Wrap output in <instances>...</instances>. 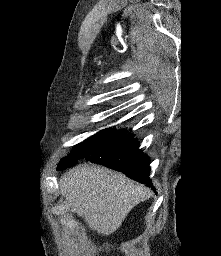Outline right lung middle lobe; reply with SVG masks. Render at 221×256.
Segmentation results:
<instances>
[{
	"mask_svg": "<svg viewBox=\"0 0 221 256\" xmlns=\"http://www.w3.org/2000/svg\"><path fill=\"white\" fill-rule=\"evenodd\" d=\"M127 133V130H113L108 128L101 130L94 136L89 137L85 141L79 143L72 149V153L61 160L58 165L59 170L75 165L78 160L84 159L101 149L105 145L112 143Z\"/></svg>",
	"mask_w": 221,
	"mask_h": 256,
	"instance_id": "1",
	"label": "right lung middle lobe"
}]
</instances>
